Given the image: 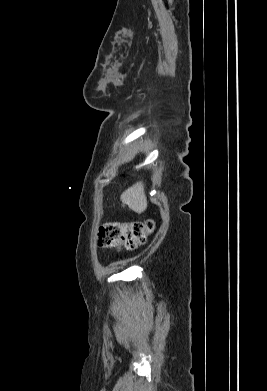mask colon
<instances>
[{
    "instance_id": "colon-1",
    "label": "colon",
    "mask_w": 267,
    "mask_h": 391,
    "mask_svg": "<svg viewBox=\"0 0 267 391\" xmlns=\"http://www.w3.org/2000/svg\"><path fill=\"white\" fill-rule=\"evenodd\" d=\"M154 226L153 220L129 223L109 222L99 230V244L105 247L132 250L145 243Z\"/></svg>"
}]
</instances>
